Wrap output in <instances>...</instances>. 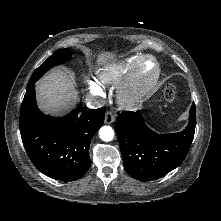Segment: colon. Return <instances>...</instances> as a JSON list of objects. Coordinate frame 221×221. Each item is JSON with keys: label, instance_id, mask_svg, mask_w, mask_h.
<instances>
[{"label": "colon", "instance_id": "5ec220e1", "mask_svg": "<svg viewBox=\"0 0 221 221\" xmlns=\"http://www.w3.org/2000/svg\"><path fill=\"white\" fill-rule=\"evenodd\" d=\"M176 97V89L174 85H167L164 90V98L168 103H172Z\"/></svg>", "mask_w": 221, "mask_h": 221}]
</instances>
